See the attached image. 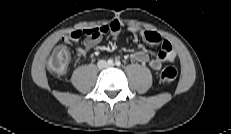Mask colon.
<instances>
[{
    "mask_svg": "<svg viewBox=\"0 0 231 134\" xmlns=\"http://www.w3.org/2000/svg\"><path fill=\"white\" fill-rule=\"evenodd\" d=\"M70 55L65 47H57L51 54L47 67L57 75H62L66 72L69 64ZM177 77V70L172 66H167L160 73V80L163 83H172Z\"/></svg>",
    "mask_w": 231,
    "mask_h": 134,
    "instance_id": "1",
    "label": "colon"
}]
</instances>
